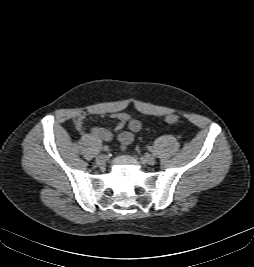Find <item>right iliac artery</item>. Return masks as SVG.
Masks as SVG:
<instances>
[{"label": "right iliac artery", "mask_w": 254, "mask_h": 267, "mask_svg": "<svg viewBox=\"0 0 254 267\" xmlns=\"http://www.w3.org/2000/svg\"><path fill=\"white\" fill-rule=\"evenodd\" d=\"M102 150H103V151H109V147H108V146H103V147H102Z\"/></svg>", "instance_id": "1"}]
</instances>
